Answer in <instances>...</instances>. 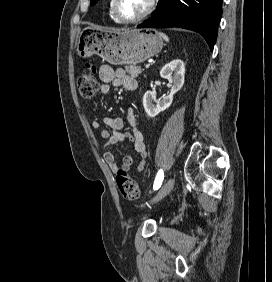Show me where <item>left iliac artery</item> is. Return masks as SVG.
Returning a JSON list of instances; mask_svg holds the SVG:
<instances>
[{"mask_svg":"<svg viewBox=\"0 0 272 282\" xmlns=\"http://www.w3.org/2000/svg\"><path fill=\"white\" fill-rule=\"evenodd\" d=\"M163 179H164V173L163 170L161 169L158 171L157 176L155 178L153 185L154 190H157L161 187Z\"/></svg>","mask_w":272,"mask_h":282,"instance_id":"1","label":"left iliac artery"}]
</instances>
